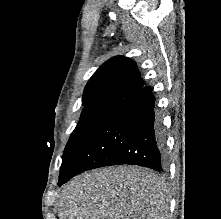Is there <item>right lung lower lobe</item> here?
Returning <instances> with one entry per match:
<instances>
[{"label":"right lung lower lobe","instance_id":"obj_1","mask_svg":"<svg viewBox=\"0 0 221 219\" xmlns=\"http://www.w3.org/2000/svg\"><path fill=\"white\" fill-rule=\"evenodd\" d=\"M149 86L124 98L63 161L59 185L93 168L131 164L164 172L165 135Z\"/></svg>","mask_w":221,"mask_h":219}]
</instances>
